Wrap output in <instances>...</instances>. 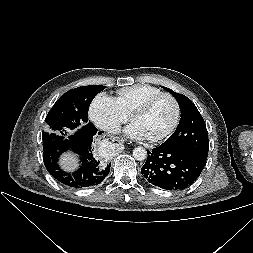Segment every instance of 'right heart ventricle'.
Returning <instances> with one entry per match:
<instances>
[{
  "instance_id": "right-heart-ventricle-1",
  "label": "right heart ventricle",
  "mask_w": 253,
  "mask_h": 253,
  "mask_svg": "<svg viewBox=\"0 0 253 253\" xmlns=\"http://www.w3.org/2000/svg\"><path fill=\"white\" fill-rule=\"evenodd\" d=\"M161 92L160 88L153 85L136 84L119 89L114 100L121 111L130 116L145 100Z\"/></svg>"
}]
</instances>
